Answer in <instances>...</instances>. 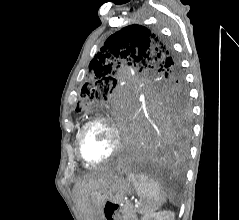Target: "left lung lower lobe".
<instances>
[{
	"mask_svg": "<svg viewBox=\"0 0 239 220\" xmlns=\"http://www.w3.org/2000/svg\"><path fill=\"white\" fill-rule=\"evenodd\" d=\"M188 116L183 112L132 110L123 116L128 145L126 160L136 166L181 165L187 156Z\"/></svg>",
	"mask_w": 239,
	"mask_h": 220,
	"instance_id": "1",
	"label": "left lung lower lobe"
}]
</instances>
